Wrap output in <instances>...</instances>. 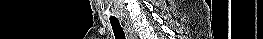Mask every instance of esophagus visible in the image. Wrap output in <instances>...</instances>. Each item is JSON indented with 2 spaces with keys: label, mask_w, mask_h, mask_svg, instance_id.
<instances>
[{
  "label": "esophagus",
  "mask_w": 263,
  "mask_h": 39,
  "mask_svg": "<svg viewBox=\"0 0 263 39\" xmlns=\"http://www.w3.org/2000/svg\"><path fill=\"white\" fill-rule=\"evenodd\" d=\"M123 23L128 39H137L138 35L132 23L128 19H123Z\"/></svg>",
  "instance_id": "1"
}]
</instances>
